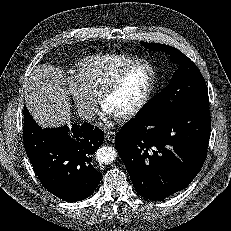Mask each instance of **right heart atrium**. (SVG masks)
<instances>
[{
	"instance_id": "d8ad5b80",
	"label": "right heart atrium",
	"mask_w": 231,
	"mask_h": 231,
	"mask_svg": "<svg viewBox=\"0 0 231 231\" xmlns=\"http://www.w3.org/2000/svg\"><path fill=\"white\" fill-rule=\"evenodd\" d=\"M64 86L66 93L73 99L80 117L90 121L96 110V98L88 94L74 76L66 78Z\"/></svg>"
}]
</instances>
